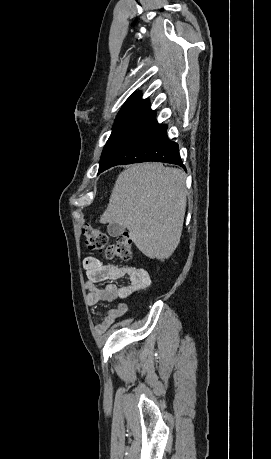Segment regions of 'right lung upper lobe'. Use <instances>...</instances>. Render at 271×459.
Here are the masks:
<instances>
[{
    "instance_id": "obj_1",
    "label": "right lung upper lobe",
    "mask_w": 271,
    "mask_h": 459,
    "mask_svg": "<svg viewBox=\"0 0 271 459\" xmlns=\"http://www.w3.org/2000/svg\"><path fill=\"white\" fill-rule=\"evenodd\" d=\"M136 111H147L153 112L150 109V102L148 99H142L141 93H134L132 94L124 106L121 108L119 113L125 112H136Z\"/></svg>"
}]
</instances>
